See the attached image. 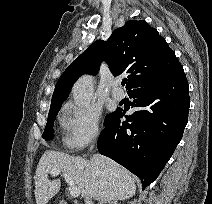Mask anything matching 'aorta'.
Here are the masks:
<instances>
[{"instance_id":"1","label":"aorta","mask_w":212,"mask_h":204,"mask_svg":"<svg viewBox=\"0 0 212 204\" xmlns=\"http://www.w3.org/2000/svg\"><path fill=\"white\" fill-rule=\"evenodd\" d=\"M73 98L76 105L88 107L93 96V79L90 76H82L74 84Z\"/></svg>"}]
</instances>
